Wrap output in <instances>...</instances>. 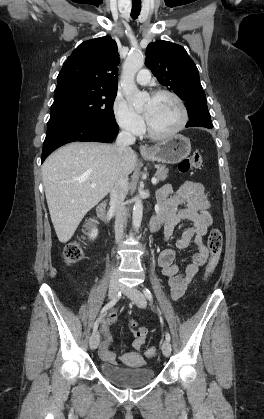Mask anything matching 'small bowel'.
I'll return each mask as SVG.
<instances>
[{
	"label": "small bowel",
	"instance_id": "obj_1",
	"mask_svg": "<svg viewBox=\"0 0 264 419\" xmlns=\"http://www.w3.org/2000/svg\"><path fill=\"white\" fill-rule=\"evenodd\" d=\"M159 211L157 216L163 220L164 239L168 242L174 232L175 227L184 220L191 225L186 228L176 242L178 249H187L190 245L197 246V251L191 257V263L180 271L179 265L175 262L176 253L174 249L167 247L161 251L158 258L162 273L169 278L171 286V297L180 298L186 291L188 285L198 274L201 266L209 260V250L203 242L213 219L209 213V201L204 191V187L197 182L185 181L176 189L171 185H164L158 192ZM116 321V314L111 312L107 316V325L103 328L102 337L99 345V355L102 360L117 364L118 355L111 350L112 333L110 326ZM133 336L132 347L141 352L149 333L147 327H138L136 322L130 324ZM131 354H125L127 360Z\"/></svg>",
	"mask_w": 264,
	"mask_h": 419
}]
</instances>
